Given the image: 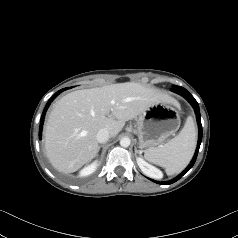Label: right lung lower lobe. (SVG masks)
<instances>
[{
    "label": "right lung lower lobe",
    "instance_id": "1",
    "mask_svg": "<svg viewBox=\"0 0 238 238\" xmlns=\"http://www.w3.org/2000/svg\"><path fill=\"white\" fill-rule=\"evenodd\" d=\"M66 89H68V88H64V89H61V90H59L58 92H56V93L49 99V101L47 102V104H46V106H45V108H44V110H43V113H42V116H41V120H40V128H39V137H40V138H41V134H42V126H43V122H44L45 113H46V111H47V109H48L50 103L53 101V99H54L57 95H59L62 91L66 90Z\"/></svg>",
    "mask_w": 238,
    "mask_h": 238
}]
</instances>
